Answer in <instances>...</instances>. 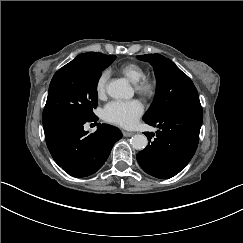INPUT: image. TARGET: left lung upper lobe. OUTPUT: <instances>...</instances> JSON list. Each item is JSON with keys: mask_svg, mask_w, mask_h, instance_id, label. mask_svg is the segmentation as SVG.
Masks as SVG:
<instances>
[{"mask_svg": "<svg viewBox=\"0 0 243 243\" xmlns=\"http://www.w3.org/2000/svg\"><path fill=\"white\" fill-rule=\"evenodd\" d=\"M138 58L153 66L157 82L155 99L143 117L145 123L155 122L178 106H201L193 82L170 59L160 54L139 55Z\"/></svg>", "mask_w": 243, "mask_h": 243, "instance_id": "5c2ea615", "label": "left lung upper lobe"}]
</instances>
